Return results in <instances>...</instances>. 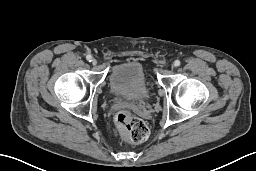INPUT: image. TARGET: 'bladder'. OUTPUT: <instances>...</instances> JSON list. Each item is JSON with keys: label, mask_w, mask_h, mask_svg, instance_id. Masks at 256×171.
<instances>
[{"label": "bladder", "mask_w": 256, "mask_h": 171, "mask_svg": "<svg viewBox=\"0 0 256 171\" xmlns=\"http://www.w3.org/2000/svg\"><path fill=\"white\" fill-rule=\"evenodd\" d=\"M109 87L115 97L138 103L146 102L150 91L143 66L136 61L114 66Z\"/></svg>", "instance_id": "obj_1"}]
</instances>
